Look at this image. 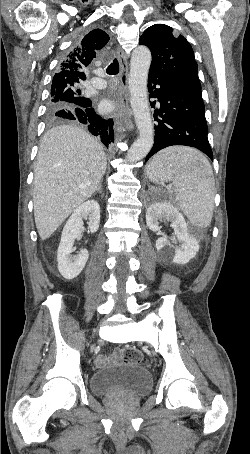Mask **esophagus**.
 I'll use <instances>...</instances> for the list:
<instances>
[{
    "label": "esophagus",
    "mask_w": 250,
    "mask_h": 454,
    "mask_svg": "<svg viewBox=\"0 0 250 454\" xmlns=\"http://www.w3.org/2000/svg\"><path fill=\"white\" fill-rule=\"evenodd\" d=\"M117 57L120 63V73L118 76L117 84V102L118 107L114 114L117 122L123 121L129 129L133 128L131 122V109L128 105V64L126 61V54L119 46L117 48Z\"/></svg>",
    "instance_id": "34e87169"
}]
</instances>
